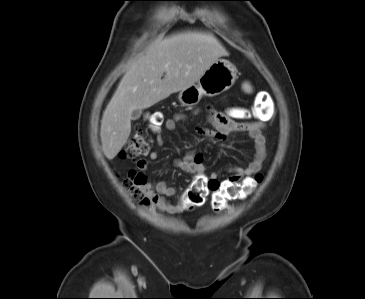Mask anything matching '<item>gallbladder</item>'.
Returning a JSON list of instances; mask_svg holds the SVG:
<instances>
[{"instance_id":"obj_1","label":"gallbladder","mask_w":365,"mask_h":299,"mask_svg":"<svg viewBox=\"0 0 365 299\" xmlns=\"http://www.w3.org/2000/svg\"><path fill=\"white\" fill-rule=\"evenodd\" d=\"M141 114H142V110H140V109L134 110L131 114V120L139 119Z\"/></svg>"}]
</instances>
